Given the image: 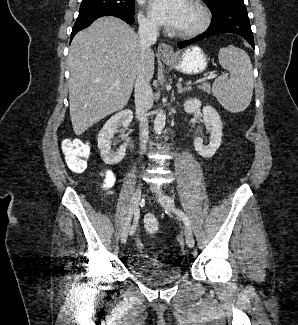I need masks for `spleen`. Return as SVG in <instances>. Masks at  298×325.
<instances>
[{
	"instance_id": "spleen-1",
	"label": "spleen",
	"mask_w": 298,
	"mask_h": 325,
	"mask_svg": "<svg viewBox=\"0 0 298 325\" xmlns=\"http://www.w3.org/2000/svg\"><path fill=\"white\" fill-rule=\"evenodd\" d=\"M219 62L223 68L229 70L230 76H218L212 84L213 96L229 112H241L249 106L252 100L254 78L249 54L228 44L220 48Z\"/></svg>"
}]
</instances>
